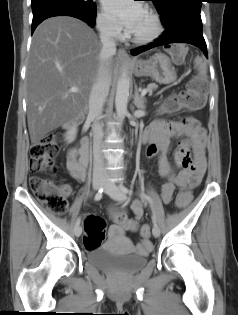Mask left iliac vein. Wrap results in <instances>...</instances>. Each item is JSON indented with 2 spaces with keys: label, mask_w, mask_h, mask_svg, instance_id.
Returning <instances> with one entry per match:
<instances>
[{
  "label": "left iliac vein",
  "mask_w": 238,
  "mask_h": 315,
  "mask_svg": "<svg viewBox=\"0 0 238 315\" xmlns=\"http://www.w3.org/2000/svg\"><path fill=\"white\" fill-rule=\"evenodd\" d=\"M105 192L116 201H124L126 199L125 193H123L115 182L107 178L104 182ZM152 233L154 237H159L160 229L158 226H153Z\"/></svg>",
  "instance_id": "4c4485c4"
}]
</instances>
